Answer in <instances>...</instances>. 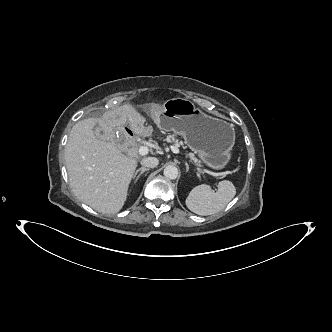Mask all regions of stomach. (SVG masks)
Masks as SVG:
<instances>
[{
    "mask_svg": "<svg viewBox=\"0 0 332 332\" xmlns=\"http://www.w3.org/2000/svg\"><path fill=\"white\" fill-rule=\"evenodd\" d=\"M153 120L161 131L183 136L186 144L212 169L222 170L229 163L235 130L228 122L207 116L182 98L167 100Z\"/></svg>",
    "mask_w": 332,
    "mask_h": 332,
    "instance_id": "obj_1",
    "label": "stomach"
}]
</instances>
